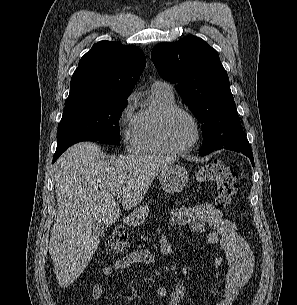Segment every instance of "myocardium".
Returning <instances> with one entry per match:
<instances>
[{
    "instance_id": "1",
    "label": "myocardium",
    "mask_w": 297,
    "mask_h": 305,
    "mask_svg": "<svg viewBox=\"0 0 297 305\" xmlns=\"http://www.w3.org/2000/svg\"><path fill=\"white\" fill-rule=\"evenodd\" d=\"M182 113L186 115L194 124L195 127V137L193 141L185 146V147H175L173 146L167 137V123L169 119L177 114ZM202 135V129L198 118L188 109L179 107V106H172L164 111H162L157 119L156 123V137L159 144L166 150V152L172 154H185L191 151L200 141Z\"/></svg>"
}]
</instances>
